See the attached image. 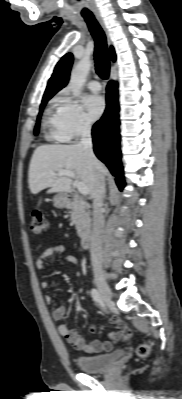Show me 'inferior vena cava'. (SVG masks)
Segmentation results:
<instances>
[{"mask_svg": "<svg viewBox=\"0 0 182 399\" xmlns=\"http://www.w3.org/2000/svg\"><path fill=\"white\" fill-rule=\"evenodd\" d=\"M89 156L95 166L98 160L93 152V144L91 137V123L85 121L81 128V140L78 144ZM105 197V179L104 176L96 171L95 185L93 192V229L91 235V263L94 273L100 272L102 269V245H103V201Z\"/></svg>", "mask_w": 182, "mask_h": 399, "instance_id": "1", "label": "inferior vena cava"}]
</instances>
